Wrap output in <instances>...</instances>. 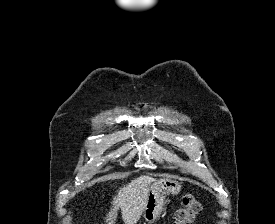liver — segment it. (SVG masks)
<instances>
[{
    "instance_id": "liver-1",
    "label": "liver",
    "mask_w": 275,
    "mask_h": 224,
    "mask_svg": "<svg viewBox=\"0 0 275 224\" xmlns=\"http://www.w3.org/2000/svg\"><path fill=\"white\" fill-rule=\"evenodd\" d=\"M154 181L152 177L140 176L120 188L113 198L112 208L106 215V223L115 224L120 208L125 224H136L146 206L150 185Z\"/></svg>"
}]
</instances>
